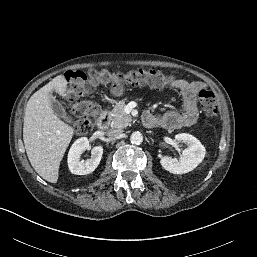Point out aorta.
Wrapping results in <instances>:
<instances>
[{
    "mask_svg": "<svg viewBox=\"0 0 257 257\" xmlns=\"http://www.w3.org/2000/svg\"><path fill=\"white\" fill-rule=\"evenodd\" d=\"M130 141L132 144L140 145L143 141V135L138 131L133 132L130 136Z\"/></svg>",
    "mask_w": 257,
    "mask_h": 257,
    "instance_id": "1",
    "label": "aorta"
}]
</instances>
